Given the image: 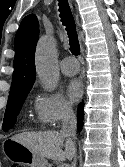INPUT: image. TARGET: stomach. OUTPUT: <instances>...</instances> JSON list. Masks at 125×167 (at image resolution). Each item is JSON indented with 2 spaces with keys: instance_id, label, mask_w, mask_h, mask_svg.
I'll list each match as a JSON object with an SVG mask.
<instances>
[{
  "instance_id": "stomach-1",
  "label": "stomach",
  "mask_w": 125,
  "mask_h": 167,
  "mask_svg": "<svg viewBox=\"0 0 125 167\" xmlns=\"http://www.w3.org/2000/svg\"><path fill=\"white\" fill-rule=\"evenodd\" d=\"M6 157L15 164H26L29 167H50L45 157L34 153L29 148L15 140H7L3 145Z\"/></svg>"
}]
</instances>
